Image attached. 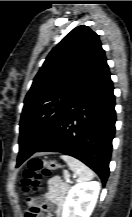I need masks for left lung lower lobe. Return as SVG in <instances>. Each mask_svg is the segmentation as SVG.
Segmentation results:
<instances>
[{"mask_svg": "<svg viewBox=\"0 0 132 217\" xmlns=\"http://www.w3.org/2000/svg\"><path fill=\"white\" fill-rule=\"evenodd\" d=\"M113 89L105 61L34 152L19 139L17 167L36 152H60L85 163L105 185L116 122Z\"/></svg>", "mask_w": 132, "mask_h": 217, "instance_id": "obj_1", "label": "left lung lower lobe"}]
</instances>
